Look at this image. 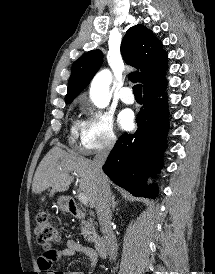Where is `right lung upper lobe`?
Wrapping results in <instances>:
<instances>
[{
  "mask_svg": "<svg viewBox=\"0 0 215 274\" xmlns=\"http://www.w3.org/2000/svg\"><path fill=\"white\" fill-rule=\"evenodd\" d=\"M121 52L125 62L141 72L131 73V80L144 84L143 92L165 84L167 54L162 43L141 24L131 27L125 34ZM100 50L83 54L72 66L68 82L66 103L72 100L89 84L102 63Z\"/></svg>",
  "mask_w": 215,
  "mask_h": 274,
  "instance_id": "obj_1",
  "label": "right lung upper lobe"
}]
</instances>
